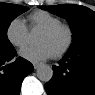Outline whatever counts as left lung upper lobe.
<instances>
[{
	"label": "left lung upper lobe",
	"instance_id": "obj_1",
	"mask_svg": "<svg viewBox=\"0 0 95 95\" xmlns=\"http://www.w3.org/2000/svg\"><path fill=\"white\" fill-rule=\"evenodd\" d=\"M50 13L56 14L71 25L73 43L68 52L80 51L95 46V12L87 7L73 4L42 6Z\"/></svg>",
	"mask_w": 95,
	"mask_h": 95
}]
</instances>
